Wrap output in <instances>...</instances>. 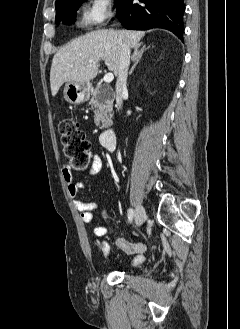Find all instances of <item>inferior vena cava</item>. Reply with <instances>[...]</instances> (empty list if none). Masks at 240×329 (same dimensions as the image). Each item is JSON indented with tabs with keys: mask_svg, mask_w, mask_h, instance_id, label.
Wrapping results in <instances>:
<instances>
[{
	"mask_svg": "<svg viewBox=\"0 0 240 329\" xmlns=\"http://www.w3.org/2000/svg\"><path fill=\"white\" fill-rule=\"evenodd\" d=\"M120 63H119V70L117 74V82H116V107L117 109L122 108V99L123 95L127 93V74L128 68L130 64V48L127 43H121V50H120Z\"/></svg>",
	"mask_w": 240,
	"mask_h": 329,
	"instance_id": "inferior-vena-cava-1",
	"label": "inferior vena cava"
}]
</instances>
